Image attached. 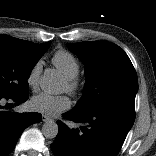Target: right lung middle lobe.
<instances>
[{
  "instance_id": "dd1d6c3e",
  "label": "right lung middle lobe",
  "mask_w": 156,
  "mask_h": 156,
  "mask_svg": "<svg viewBox=\"0 0 156 156\" xmlns=\"http://www.w3.org/2000/svg\"><path fill=\"white\" fill-rule=\"evenodd\" d=\"M50 42L30 46L0 37V93L9 96L29 94L28 78Z\"/></svg>"
}]
</instances>
